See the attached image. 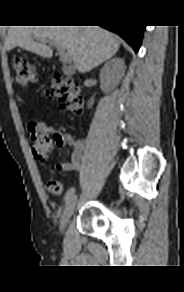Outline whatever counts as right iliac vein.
<instances>
[{"mask_svg": "<svg viewBox=\"0 0 184 292\" xmlns=\"http://www.w3.org/2000/svg\"><path fill=\"white\" fill-rule=\"evenodd\" d=\"M76 201H77V197L76 196H72L66 202V205H65V208H64V212H63V215H62V218H61V224H60V229H61L62 232L64 231L69 218L71 217V215L74 212V209H75V206H76Z\"/></svg>", "mask_w": 184, "mask_h": 292, "instance_id": "63e3f726", "label": "right iliac vein"}]
</instances>
